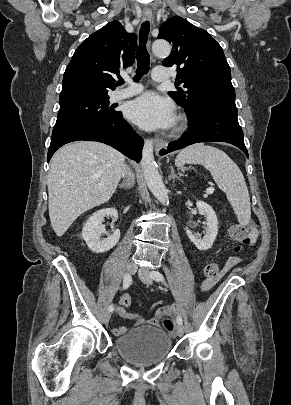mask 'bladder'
Listing matches in <instances>:
<instances>
[{"label": "bladder", "mask_w": 291, "mask_h": 405, "mask_svg": "<svg viewBox=\"0 0 291 405\" xmlns=\"http://www.w3.org/2000/svg\"><path fill=\"white\" fill-rule=\"evenodd\" d=\"M113 346L129 364L136 367H149L168 357L172 349V341L163 330L151 325H140L118 336Z\"/></svg>", "instance_id": "1"}]
</instances>
